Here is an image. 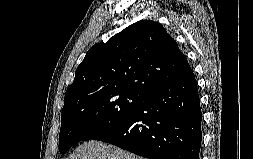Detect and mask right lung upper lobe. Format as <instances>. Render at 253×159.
I'll list each match as a JSON object with an SVG mask.
<instances>
[{"label":"right lung upper lobe","mask_w":253,"mask_h":159,"mask_svg":"<svg viewBox=\"0 0 253 159\" xmlns=\"http://www.w3.org/2000/svg\"><path fill=\"white\" fill-rule=\"evenodd\" d=\"M191 73L186 57L164 27L141 20L89 49L64 104L99 92L130 91L146 96Z\"/></svg>","instance_id":"right-lung-upper-lobe-1"}]
</instances>
